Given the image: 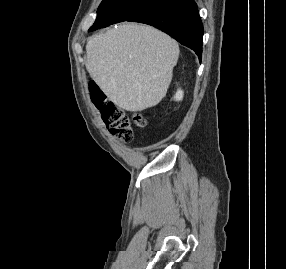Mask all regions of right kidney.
<instances>
[{
    "mask_svg": "<svg viewBox=\"0 0 286 269\" xmlns=\"http://www.w3.org/2000/svg\"><path fill=\"white\" fill-rule=\"evenodd\" d=\"M174 99L176 101H181L183 99V91L179 89L175 94Z\"/></svg>",
    "mask_w": 286,
    "mask_h": 269,
    "instance_id": "obj_1",
    "label": "right kidney"
}]
</instances>
